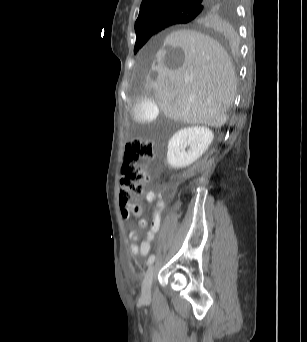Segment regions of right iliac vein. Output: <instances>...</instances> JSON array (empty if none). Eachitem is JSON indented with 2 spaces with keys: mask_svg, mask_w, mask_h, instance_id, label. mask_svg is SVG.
<instances>
[{
  "mask_svg": "<svg viewBox=\"0 0 307 342\" xmlns=\"http://www.w3.org/2000/svg\"><path fill=\"white\" fill-rule=\"evenodd\" d=\"M154 273H155V267L154 265H150L146 271L143 283H142V299H148L150 297V293H151V284L153 281V277H154Z\"/></svg>",
  "mask_w": 307,
  "mask_h": 342,
  "instance_id": "right-iliac-vein-1",
  "label": "right iliac vein"
}]
</instances>
